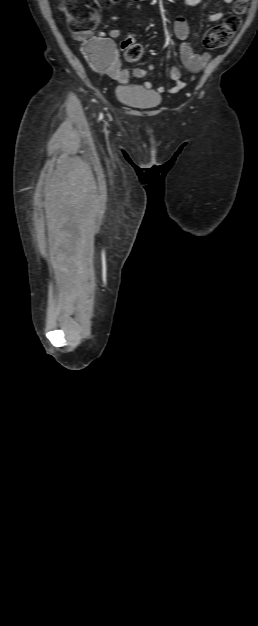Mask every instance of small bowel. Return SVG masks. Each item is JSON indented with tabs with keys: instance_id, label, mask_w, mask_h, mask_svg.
Listing matches in <instances>:
<instances>
[{
	"instance_id": "c3829d8e",
	"label": "small bowel",
	"mask_w": 258,
	"mask_h": 626,
	"mask_svg": "<svg viewBox=\"0 0 258 626\" xmlns=\"http://www.w3.org/2000/svg\"><path fill=\"white\" fill-rule=\"evenodd\" d=\"M202 0H184V4L186 6H196ZM225 3L230 4L233 0H223ZM133 4L127 5L126 8L132 7ZM223 12H214L211 13L208 18L210 21L216 22L222 19ZM190 28L188 22L183 17H178L174 22V33L175 36L183 42L181 46V59L185 66V68L191 72H199L201 69L205 67L210 59L209 53L196 54L192 51L189 44L186 42L189 36ZM119 34L118 30L112 29L109 32L110 37L115 38ZM102 47L105 50H110L114 47L112 40L105 39L102 41ZM98 67L102 72L110 76L112 79L116 80L122 85L129 84L130 74L127 69L122 68L120 58L116 53H112L109 55H105L98 62ZM154 66L150 65L147 69L136 68L133 70V75L136 78L145 77L151 70H153ZM170 78L173 80L174 84L169 89H165L160 86L157 88V92L163 93H177L182 90L185 86V83L181 80V73L177 67H172L169 70ZM144 87L146 89H152V83L150 81L144 82Z\"/></svg>"
}]
</instances>
